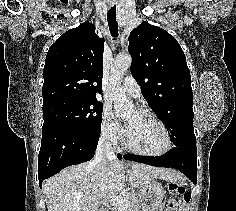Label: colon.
<instances>
[{
	"instance_id": "obj_1",
	"label": "colon",
	"mask_w": 236,
	"mask_h": 211,
	"mask_svg": "<svg viewBox=\"0 0 236 211\" xmlns=\"http://www.w3.org/2000/svg\"><path fill=\"white\" fill-rule=\"evenodd\" d=\"M169 193L172 195L175 203L188 204L191 200V193L186 186L178 183H171L168 186ZM173 202V203H174ZM173 203L165 207L162 211H173Z\"/></svg>"
}]
</instances>
